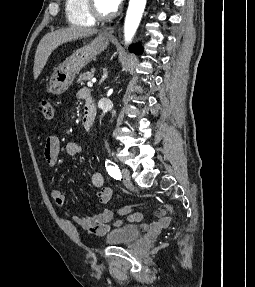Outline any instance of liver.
Listing matches in <instances>:
<instances>
[{
  "instance_id": "1",
  "label": "liver",
  "mask_w": 255,
  "mask_h": 287,
  "mask_svg": "<svg viewBox=\"0 0 255 287\" xmlns=\"http://www.w3.org/2000/svg\"><path fill=\"white\" fill-rule=\"evenodd\" d=\"M97 32L98 30H95V28H62V30H55V32H50V34L43 36L37 46L34 58V80H37L44 66H46L51 52L56 50L58 46L66 44V42H73V40L88 38V36H93Z\"/></svg>"
}]
</instances>
